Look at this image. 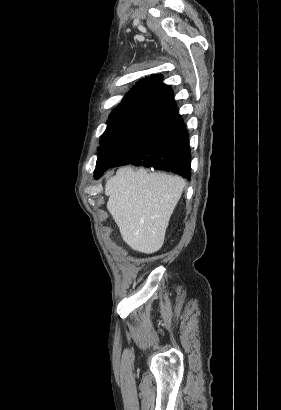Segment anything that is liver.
Returning <instances> with one entry per match:
<instances>
[{"label":"liver","instance_id":"obj_1","mask_svg":"<svg viewBox=\"0 0 281 410\" xmlns=\"http://www.w3.org/2000/svg\"><path fill=\"white\" fill-rule=\"evenodd\" d=\"M185 182L178 176L120 168L105 185L107 209L123 240L133 250L151 254L163 245L170 217Z\"/></svg>","mask_w":281,"mask_h":410}]
</instances>
